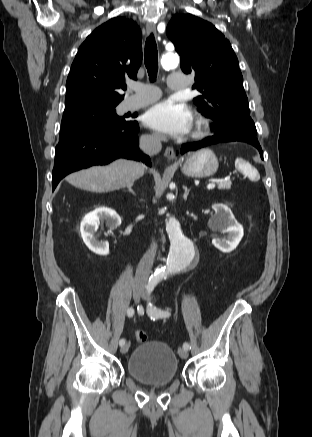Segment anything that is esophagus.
<instances>
[{"label": "esophagus", "mask_w": 312, "mask_h": 437, "mask_svg": "<svg viewBox=\"0 0 312 437\" xmlns=\"http://www.w3.org/2000/svg\"><path fill=\"white\" fill-rule=\"evenodd\" d=\"M146 31L147 34H155L156 33V25L153 22H148L146 24ZM174 149L170 146L166 147L165 151H164V156L169 159V160H173L174 159Z\"/></svg>", "instance_id": "obj_1"}]
</instances>
